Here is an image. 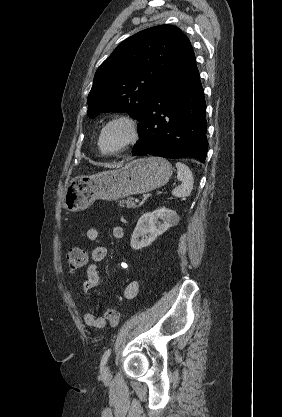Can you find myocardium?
Here are the masks:
<instances>
[{"mask_svg": "<svg viewBox=\"0 0 282 417\" xmlns=\"http://www.w3.org/2000/svg\"><path fill=\"white\" fill-rule=\"evenodd\" d=\"M119 128L123 130L124 137L122 141L111 151L104 150L102 146V140L105 134L113 129ZM138 137L137 125L134 119L128 116H119L112 119L107 125L102 129L99 137V146L103 154H115L128 145L132 144Z\"/></svg>", "mask_w": 282, "mask_h": 417, "instance_id": "f54148a6", "label": "myocardium"}]
</instances>
